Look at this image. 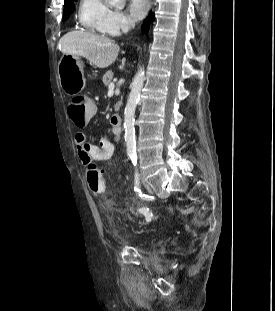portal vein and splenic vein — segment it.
<instances>
[{"label": "portal vein and splenic vein", "instance_id": "portal-vein-and-splenic-vein-1", "mask_svg": "<svg viewBox=\"0 0 275 311\" xmlns=\"http://www.w3.org/2000/svg\"><path fill=\"white\" fill-rule=\"evenodd\" d=\"M116 80H114L113 82H111L110 84H109V89H114V87H115V85H114V82H115Z\"/></svg>", "mask_w": 275, "mask_h": 311}]
</instances>
